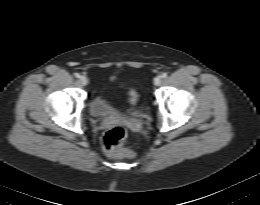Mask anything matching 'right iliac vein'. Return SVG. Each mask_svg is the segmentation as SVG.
<instances>
[{
    "label": "right iliac vein",
    "instance_id": "obj_1",
    "mask_svg": "<svg viewBox=\"0 0 260 205\" xmlns=\"http://www.w3.org/2000/svg\"><path fill=\"white\" fill-rule=\"evenodd\" d=\"M80 83H81L82 85H87V84H88V79H87V77L81 76V77H80Z\"/></svg>",
    "mask_w": 260,
    "mask_h": 205
}]
</instances>
